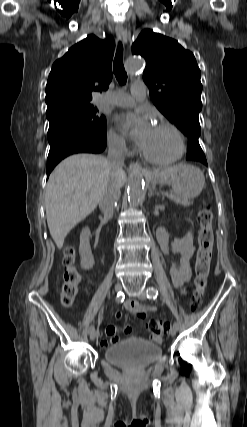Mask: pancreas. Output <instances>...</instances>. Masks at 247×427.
<instances>
[{
  "mask_svg": "<svg viewBox=\"0 0 247 427\" xmlns=\"http://www.w3.org/2000/svg\"><path fill=\"white\" fill-rule=\"evenodd\" d=\"M165 196H167L170 200L174 201L177 204H187V201L182 200L179 196L172 194V193H166L163 194Z\"/></svg>",
  "mask_w": 247,
  "mask_h": 427,
  "instance_id": "obj_1",
  "label": "pancreas"
}]
</instances>
